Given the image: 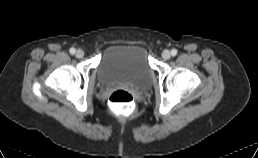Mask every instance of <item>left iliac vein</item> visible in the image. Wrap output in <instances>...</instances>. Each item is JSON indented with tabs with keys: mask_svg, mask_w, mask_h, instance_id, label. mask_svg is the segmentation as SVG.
I'll return each mask as SVG.
<instances>
[{
	"mask_svg": "<svg viewBox=\"0 0 258 158\" xmlns=\"http://www.w3.org/2000/svg\"><path fill=\"white\" fill-rule=\"evenodd\" d=\"M162 57H163L164 59H169V58L171 57L170 51H169V50H164V51L162 52Z\"/></svg>",
	"mask_w": 258,
	"mask_h": 158,
	"instance_id": "1",
	"label": "left iliac vein"
}]
</instances>
